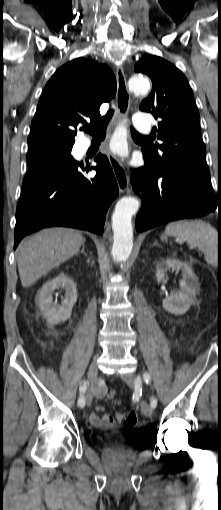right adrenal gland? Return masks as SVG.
<instances>
[{"mask_svg":"<svg viewBox=\"0 0 221 510\" xmlns=\"http://www.w3.org/2000/svg\"><path fill=\"white\" fill-rule=\"evenodd\" d=\"M84 249H85V245H84V243H83V244H82V249H81V251H80V252H77V253H76V255H78L79 253H82V254H84L85 256H87V254L85 253Z\"/></svg>","mask_w":221,"mask_h":510,"instance_id":"2a0ac1e0","label":"right adrenal gland"}]
</instances>
